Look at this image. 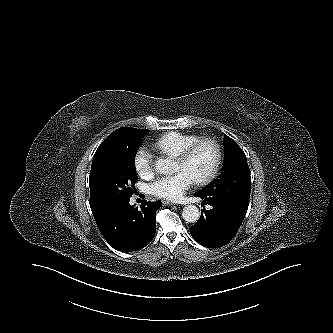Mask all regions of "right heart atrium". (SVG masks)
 <instances>
[{
	"label": "right heart atrium",
	"mask_w": 333,
	"mask_h": 333,
	"mask_svg": "<svg viewBox=\"0 0 333 333\" xmlns=\"http://www.w3.org/2000/svg\"><path fill=\"white\" fill-rule=\"evenodd\" d=\"M133 164L136 172L144 178L152 175L154 170L153 154L145 147H140L135 152Z\"/></svg>",
	"instance_id": "obj_1"
}]
</instances>
